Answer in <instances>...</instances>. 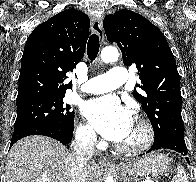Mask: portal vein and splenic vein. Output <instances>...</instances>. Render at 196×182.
Instances as JSON below:
<instances>
[{
  "label": "portal vein and splenic vein",
  "mask_w": 196,
  "mask_h": 182,
  "mask_svg": "<svg viewBox=\"0 0 196 182\" xmlns=\"http://www.w3.org/2000/svg\"><path fill=\"white\" fill-rule=\"evenodd\" d=\"M143 182H153L152 180H145V181H143Z\"/></svg>",
  "instance_id": "obj_1"
}]
</instances>
